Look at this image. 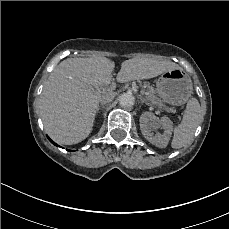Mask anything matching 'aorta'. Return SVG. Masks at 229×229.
I'll return each instance as SVG.
<instances>
[{
    "label": "aorta",
    "instance_id": "obj_1",
    "mask_svg": "<svg viewBox=\"0 0 229 229\" xmlns=\"http://www.w3.org/2000/svg\"><path fill=\"white\" fill-rule=\"evenodd\" d=\"M119 103L122 107L130 108L135 103V97L130 92L123 93L119 96Z\"/></svg>",
    "mask_w": 229,
    "mask_h": 229
}]
</instances>
